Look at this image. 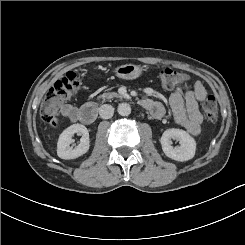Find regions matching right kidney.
I'll use <instances>...</instances> for the list:
<instances>
[{
	"label": "right kidney",
	"mask_w": 245,
	"mask_h": 245,
	"mask_svg": "<svg viewBox=\"0 0 245 245\" xmlns=\"http://www.w3.org/2000/svg\"><path fill=\"white\" fill-rule=\"evenodd\" d=\"M77 133L83 134L80 143L74 149L70 148V144L74 142L71 137ZM89 134L87 128L82 124H73L67 127L59 136L57 142V156L64 160L76 159L89 151Z\"/></svg>",
	"instance_id": "obj_1"
}]
</instances>
